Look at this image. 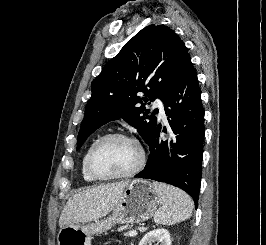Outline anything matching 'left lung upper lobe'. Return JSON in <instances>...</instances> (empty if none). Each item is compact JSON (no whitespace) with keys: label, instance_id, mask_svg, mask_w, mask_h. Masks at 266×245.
Instances as JSON below:
<instances>
[{"label":"left lung upper lobe","instance_id":"5c2ea615","mask_svg":"<svg viewBox=\"0 0 266 245\" xmlns=\"http://www.w3.org/2000/svg\"><path fill=\"white\" fill-rule=\"evenodd\" d=\"M189 57L183 41L169 27L150 25L139 31L92 81V96L87 102L76 149L100 126L120 117L137 128L148 142L157 117L148 115L144 102L163 99ZM139 92L146 97H140Z\"/></svg>","mask_w":266,"mask_h":245}]
</instances>
